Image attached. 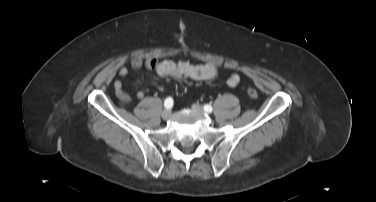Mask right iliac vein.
I'll return each mask as SVG.
<instances>
[{
	"mask_svg": "<svg viewBox=\"0 0 376 202\" xmlns=\"http://www.w3.org/2000/svg\"><path fill=\"white\" fill-rule=\"evenodd\" d=\"M170 115H171V110H170V109H165V110L162 112V114H161V116H162V118H163L164 120H167V119L170 117Z\"/></svg>",
	"mask_w": 376,
	"mask_h": 202,
	"instance_id": "63e3f726",
	"label": "right iliac vein"
}]
</instances>
